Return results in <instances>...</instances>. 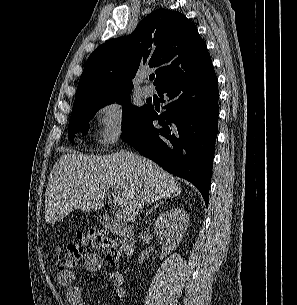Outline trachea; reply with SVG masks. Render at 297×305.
<instances>
[{"label":"trachea","mask_w":297,"mask_h":305,"mask_svg":"<svg viewBox=\"0 0 297 305\" xmlns=\"http://www.w3.org/2000/svg\"><path fill=\"white\" fill-rule=\"evenodd\" d=\"M154 78H155L154 75H150V76H149V80H153Z\"/></svg>","instance_id":"1"}]
</instances>
